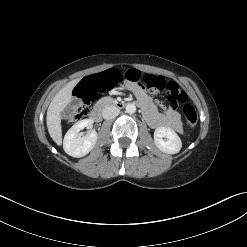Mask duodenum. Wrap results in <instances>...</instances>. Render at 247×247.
<instances>
[{"mask_svg": "<svg viewBox=\"0 0 247 247\" xmlns=\"http://www.w3.org/2000/svg\"><path fill=\"white\" fill-rule=\"evenodd\" d=\"M126 105L127 103L123 101H111V102L102 103L93 109V111L90 114V118L95 122H99L102 119V114L106 107L110 106L117 109H122ZM138 105L141 106L139 102Z\"/></svg>", "mask_w": 247, "mask_h": 247, "instance_id": "410a0bca", "label": "duodenum"}]
</instances>
